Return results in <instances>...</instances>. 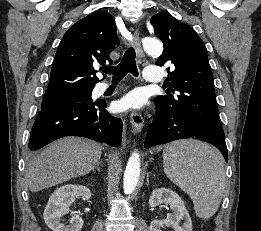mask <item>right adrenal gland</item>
I'll use <instances>...</instances> for the list:
<instances>
[{
	"label": "right adrenal gland",
	"mask_w": 261,
	"mask_h": 231,
	"mask_svg": "<svg viewBox=\"0 0 261 231\" xmlns=\"http://www.w3.org/2000/svg\"><path fill=\"white\" fill-rule=\"evenodd\" d=\"M95 170H97L98 172H100V162H98L96 165H95V167L93 168V170L92 171H95Z\"/></svg>",
	"instance_id": "obj_1"
}]
</instances>
